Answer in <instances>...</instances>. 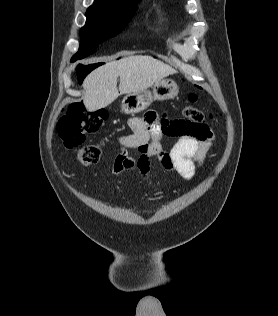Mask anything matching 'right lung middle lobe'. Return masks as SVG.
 <instances>
[{
	"label": "right lung middle lobe",
	"mask_w": 278,
	"mask_h": 316,
	"mask_svg": "<svg viewBox=\"0 0 278 316\" xmlns=\"http://www.w3.org/2000/svg\"><path fill=\"white\" fill-rule=\"evenodd\" d=\"M135 7H89L86 24L80 30V47L71 62L94 53L99 43L120 33L134 15ZM89 71V67L79 68L78 75L84 77Z\"/></svg>",
	"instance_id": "right-lung-middle-lobe-1"
}]
</instances>
